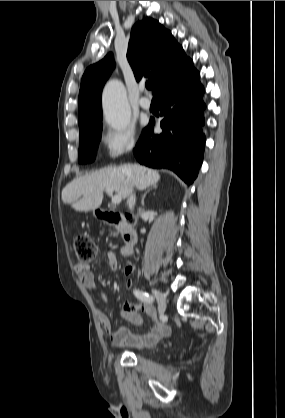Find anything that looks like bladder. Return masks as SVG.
I'll return each instance as SVG.
<instances>
[{
    "mask_svg": "<svg viewBox=\"0 0 285 418\" xmlns=\"http://www.w3.org/2000/svg\"><path fill=\"white\" fill-rule=\"evenodd\" d=\"M133 353L136 354V355H139V354L143 353V350L138 349V350L134 351Z\"/></svg>",
    "mask_w": 285,
    "mask_h": 418,
    "instance_id": "1",
    "label": "bladder"
}]
</instances>
